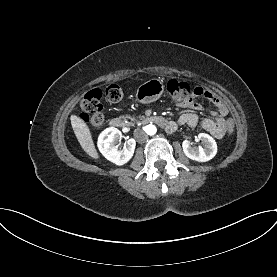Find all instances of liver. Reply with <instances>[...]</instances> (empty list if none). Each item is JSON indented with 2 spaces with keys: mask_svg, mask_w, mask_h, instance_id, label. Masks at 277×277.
<instances>
[{
  "mask_svg": "<svg viewBox=\"0 0 277 277\" xmlns=\"http://www.w3.org/2000/svg\"><path fill=\"white\" fill-rule=\"evenodd\" d=\"M71 125L82 149L90 157L98 159L99 154L95 148L89 127L76 115H72Z\"/></svg>",
  "mask_w": 277,
  "mask_h": 277,
  "instance_id": "6515ba94",
  "label": "liver"
}]
</instances>
